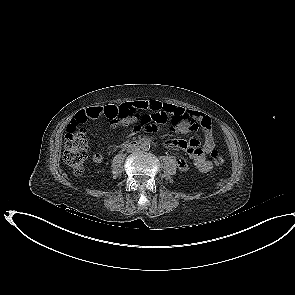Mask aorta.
I'll return each mask as SVG.
<instances>
[{
	"instance_id": "762f6f07",
	"label": "aorta",
	"mask_w": 295,
	"mask_h": 295,
	"mask_svg": "<svg viewBox=\"0 0 295 295\" xmlns=\"http://www.w3.org/2000/svg\"><path fill=\"white\" fill-rule=\"evenodd\" d=\"M140 148L144 151H148L150 149V142L148 140L143 141L140 144Z\"/></svg>"
}]
</instances>
